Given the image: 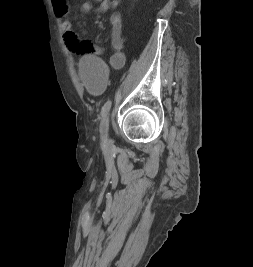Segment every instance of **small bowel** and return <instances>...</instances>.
I'll return each mask as SVG.
<instances>
[{"mask_svg": "<svg viewBox=\"0 0 253 267\" xmlns=\"http://www.w3.org/2000/svg\"><path fill=\"white\" fill-rule=\"evenodd\" d=\"M98 4L95 6V4ZM119 0H86L81 4L83 13H104L111 8L117 7ZM55 13L62 19V38L65 46L73 53L81 55L84 53L102 54L105 48L88 42H81L72 30V12L68 0H52ZM110 45L114 50L110 57V63L115 68H121L125 64V55L122 52V17L119 12H113L109 18Z\"/></svg>", "mask_w": 253, "mask_h": 267, "instance_id": "small-bowel-1", "label": "small bowel"}]
</instances>
